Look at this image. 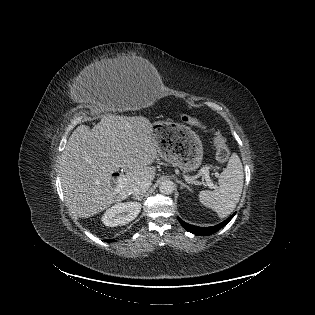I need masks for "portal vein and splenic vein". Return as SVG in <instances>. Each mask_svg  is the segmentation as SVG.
<instances>
[{
	"instance_id": "18ae733b",
	"label": "portal vein and splenic vein",
	"mask_w": 315,
	"mask_h": 315,
	"mask_svg": "<svg viewBox=\"0 0 315 315\" xmlns=\"http://www.w3.org/2000/svg\"><path fill=\"white\" fill-rule=\"evenodd\" d=\"M200 176H204L206 182H207V185L209 188L213 189L215 188L216 186L214 185V183L212 182V180L210 179V176H209V170H206L204 168H202L199 173L193 177H186L185 176V179L186 181L188 182H192L193 180L197 179L198 177ZM127 181L126 179V176L124 174H121L118 179H117V183L118 185L116 186V188L114 189V194H117L119 193V191L121 190V188L124 186L125 182Z\"/></svg>"
}]
</instances>
